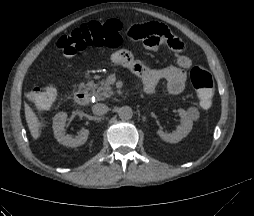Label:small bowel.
Returning a JSON list of instances; mask_svg holds the SVG:
<instances>
[{
	"mask_svg": "<svg viewBox=\"0 0 254 216\" xmlns=\"http://www.w3.org/2000/svg\"><path fill=\"white\" fill-rule=\"evenodd\" d=\"M125 39L130 44L143 41L149 50H156L160 46L166 47L169 51H175L177 53V66L149 69L141 61L135 59L132 53L124 49L111 54L110 61L112 64L124 66L140 75L144 89L149 94L156 92L161 81L167 83V91L170 94L178 95L183 92L187 81V70L191 66V59L182 53L184 49L183 42L172 35L168 27H160L156 23L136 25L126 30Z\"/></svg>",
	"mask_w": 254,
	"mask_h": 216,
	"instance_id": "1",
	"label": "small bowel"
}]
</instances>
